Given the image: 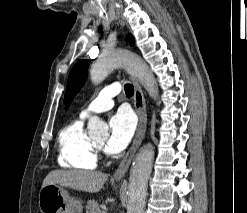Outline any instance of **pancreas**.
<instances>
[{"mask_svg":"<svg viewBox=\"0 0 247 213\" xmlns=\"http://www.w3.org/2000/svg\"><path fill=\"white\" fill-rule=\"evenodd\" d=\"M86 213H102L98 202L94 199L88 200L86 206Z\"/></svg>","mask_w":247,"mask_h":213,"instance_id":"pancreas-1","label":"pancreas"}]
</instances>
